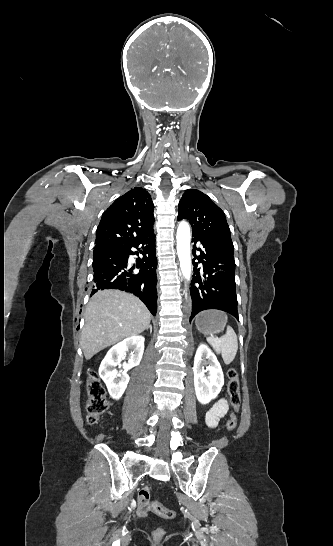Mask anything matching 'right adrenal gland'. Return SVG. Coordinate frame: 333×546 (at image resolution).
<instances>
[{"label": "right adrenal gland", "mask_w": 333, "mask_h": 546, "mask_svg": "<svg viewBox=\"0 0 333 546\" xmlns=\"http://www.w3.org/2000/svg\"><path fill=\"white\" fill-rule=\"evenodd\" d=\"M148 329H149L150 334H151V333H152V325H151V324L148 326L147 330H148Z\"/></svg>", "instance_id": "2a0ac1e0"}]
</instances>
